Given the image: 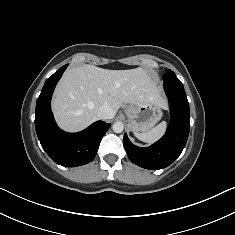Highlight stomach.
Here are the masks:
<instances>
[{"mask_svg": "<svg viewBox=\"0 0 235 235\" xmlns=\"http://www.w3.org/2000/svg\"><path fill=\"white\" fill-rule=\"evenodd\" d=\"M130 129L134 133L146 132L163 116L162 107L154 102L129 104L124 108Z\"/></svg>", "mask_w": 235, "mask_h": 235, "instance_id": "0dacf381", "label": "stomach"}]
</instances>
